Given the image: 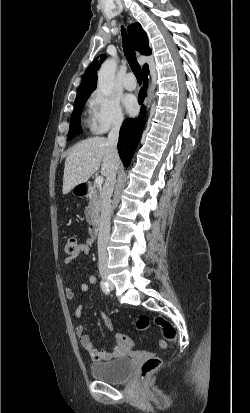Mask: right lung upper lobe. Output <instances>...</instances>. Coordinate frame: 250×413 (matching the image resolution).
Returning <instances> with one entry per match:
<instances>
[{
  "label": "right lung upper lobe",
  "mask_w": 250,
  "mask_h": 413,
  "mask_svg": "<svg viewBox=\"0 0 250 413\" xmlns=\"http://www.w3.org/2000/svg\"><path fill=\"white\" fill-rule=\"evenodd\" d=\"M129 35L131 37L132 43L136 50L142 55H150L151 49L148 45V38L145 31L142 29L139 23L132 24L128 27ZM106 55H100L98 59H95L86 70L81 84L79 86L77 96L90 94L97 84V70L99 69L101 63L105 60ZM148 65L145 64L143 70H147ZM76 96V97H77Z\"/></svg>",
  "instance_id": "right-lung-upper-lobe-1"
}]
</instances>
